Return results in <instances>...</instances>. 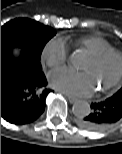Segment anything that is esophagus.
<instances>
[{"mask_svg": "<svg viewBox=\"0 0 122 154\" xmlns=\"http://www.w3.org/2000/svg\"><path fill=\"white\" fill-rule=\"evenodd\" d=\"M64 94V93H63ZM66 95V94H65ZM66 97H67V99H68V101L70 102V103H74V102H76L77 101V98H75V97H72V96H69V95H66Z\"/></svg>", "mask_w": 122, "mask_h": 154, "instance_id": "obj_1", "label": "esophagus"}]
</instances>
